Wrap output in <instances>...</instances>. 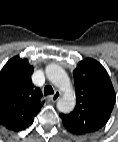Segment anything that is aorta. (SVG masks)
I'll use <instances>...</instances> for the list:
<instances>
[{
  "label": "aorta",
  "instance_id": "1",
  "mask_svg": "<svg viewBox=\"0 0 118 142\" xmlns=\"http://www.w3.org/2000/svg\"><path fill=\"white\" fill-rule=\"evenodd\" d=\"M46 76L63 95L57 102V109L62 113L71 112L76 105V97L71 81L63 68L56 64H50L45 69Z\"/></svg>",
  "mask_w": 118,
  "mask_h": 142
}]
</instances>
